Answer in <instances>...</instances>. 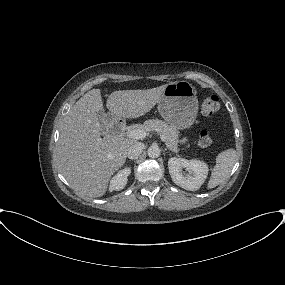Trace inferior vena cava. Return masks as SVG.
Returning <instances> with one entry per match:
<instances>
[{
    "mask_svg": "<svg viewBox=\"0 0 285 285\" xmlns=\"http://www.w3.org/2000/svg\"><path fill=\"white\" fill-rule=\"evenodd\" d=\"M144 144L141 142H135L132 144L127 152V157L131 160L137 159L140 154L143 152Z\"/></svg>",
    "mask_w": 285,
    "mask_h": 285,
    "instance_id": "obj_1",
    "label": "inferior vena cava"
}]
</instances>
